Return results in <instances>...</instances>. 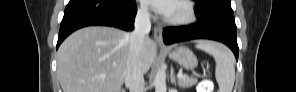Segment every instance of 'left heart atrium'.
Listing matches in <instances>:
<instances>
[{"mask_svg": "<svg viewBox=\"0 0 296 92\" xmlns=\"http://www.w3.org/2000/svg\"><path fill=\"white\" fill-rule=\"evenodd\" d=\"M144 3L153 8L156 12L167 17H169V15L172 13L174 5L176 4L167 0H145Z\"/></svg>", "mask_w": 296, "mask_h": 92, "instance_id": "1", "label": "left heart atrium"}]
</instances>
